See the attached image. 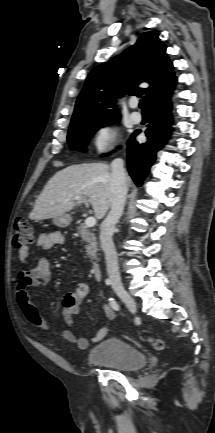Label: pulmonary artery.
<instances>
[{
  "mask_svg": "<svg viewBox=\"0 0 215 433\" xmlns=\"http://www.w3.org/2000/svg\"><path fill=\"white\" fill-rule=\"evenodd\" d=\"M129 106L132 109L136 108V106H137L136 101H131L129 103ZM130 118H131V120H132L133 123H139L141 121V119H142V115L139 112H137V111H133L130 114Z\"/></svg>",
  "mask_w": 215,
  "mask_h": 433,
  "instance_id": "pulmonary-artery-1",
  "label": "pulmonary artery"
}]
</instances>
